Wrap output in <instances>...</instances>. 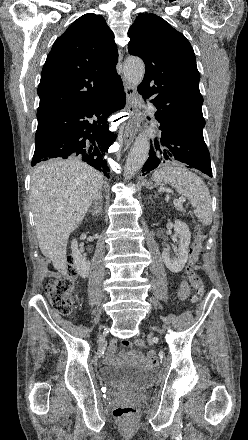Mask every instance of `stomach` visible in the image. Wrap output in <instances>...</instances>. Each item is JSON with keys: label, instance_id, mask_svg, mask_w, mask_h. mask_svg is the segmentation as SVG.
<instances>
[{"label": "stomach", "instance_id": "obj_1", "mask_svg": "<svg viewBox=\"0 0 248 440\" xmlns=\"http://www.w3.org/2000/svg\"><path fill=\"white\" fill-rule=\"evenodd\" d=\"M145 186L149 188L151 185H150V183L146 182Z\"/></svg>", "mask_w": 248, "mask_h": 440}]
</instances>
